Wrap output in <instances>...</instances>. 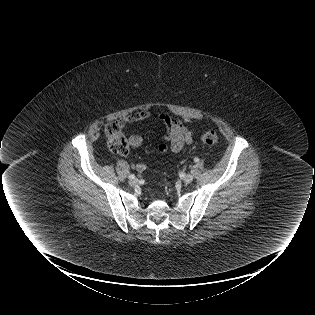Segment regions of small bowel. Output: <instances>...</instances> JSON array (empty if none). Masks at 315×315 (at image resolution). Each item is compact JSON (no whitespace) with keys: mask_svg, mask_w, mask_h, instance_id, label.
<instances>
[{"mask_svg":"<svg viewBox=\"0 0 315 315\" xmlns=\"http://www.w3.org/2000/svg\"><path fill=\"white\" fill-rule=\"evenodd\" d=\"M156 117L165 126L163 135L164 140L168 143H161L158 146L160 153L170 151L173 154H182L186 151L193 142L194 132L189 129L180 119L174 118L167 113H159L157 115L149 111H138L129 114L121 119L122 125L135 123L150 118ZM129 143L133 148H138L142 145L143 139L140 135L133 134L129 137ZM134 168L138 172H143L146 169L144 163H137Z\"/></svg>","mask_w":315,"mask_h":315,"instance_id":"c3829d8e","label":"small bowel"}]
</instances>
